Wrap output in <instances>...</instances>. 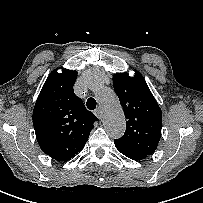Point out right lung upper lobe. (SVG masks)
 <instances>
[{
	"label": "right lung upper lobe",
	"instance_id": "right-lung-upper-lobe-1",
	"mask_svg": "<svg viewBox=\"0 0 203 203\" xmlns=\"http://www.w3.org/2000/svg\"><path fill=\"white\" fill-rule=\"evenodd\" d=\"M77 72L52 71L33 110V125L41 150L57 161H67L83 149L98 118L73 91Z\"/></svg>",
	"mask_w": 203,
	"mask_h": 203
}]
</instances>
